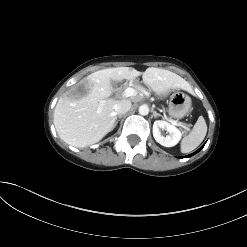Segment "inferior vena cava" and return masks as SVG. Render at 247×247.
<instances>
[{"mask_svg":"<svg viewBox=\"0 0 247 247\" xmlns=\"http://www.w3.org/2000/svg\"><path fill=\"white\" fill-rule=\"evenodd\" d=\"M131 108V102L129 100L123 99L117 102L115 105V113L118 115H123L127 113Z\"/></svg>","mask_w":247,"mask_h":247,"instance_id":"602c4592","label":"inferior vena cava"}]
</instances>
